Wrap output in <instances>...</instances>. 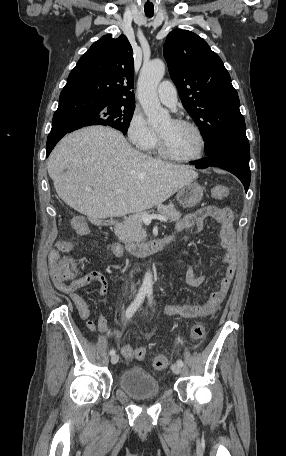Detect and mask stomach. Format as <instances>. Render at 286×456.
Returning a JSON list of instances; mask_svg holds the SVG:
<instances>
[{
  "mask_svg": "<svg viewBox=\"0 0 286 456\" xmlns=\"http://www.w3.org/2000/svg\"><path fill=\"white\" fill-rule=\"evenodd\" d=\"M204 189L196 182L182 187L177 193V201L184 208L196 206L203 198Z\"/></svg>",
  "mask_w": 286,
  "mask_h": 456,
  "instance_id": "stomach-1",
  "label": "stomach"
}]
</instances>
